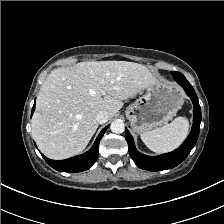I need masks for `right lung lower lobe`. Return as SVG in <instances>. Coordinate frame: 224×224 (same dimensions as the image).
I'll return each instance as SVG.
<instances>
[{"mask_svg":"<svg viewBox=\"0 0 224 224\" xmlns=\"http://www.w3.org/2000/svg\"><path fill=\"white\" fill-rule=\"evenodd\" d=\"M34 108L35 105L33 106L32 114L34 112ZM107 127L102 129L92 148L84 154L60 161L48 159L44 155H42V157L51 167L60 172L77 173L85 171L95 163L99 153L98 151L99 142L102 136L104 135Z\"/></svg>","mask_w":224,"mask_h":224,"instance_id":"98d812e1","label":"right lung lower lobe"}]
</instances>
